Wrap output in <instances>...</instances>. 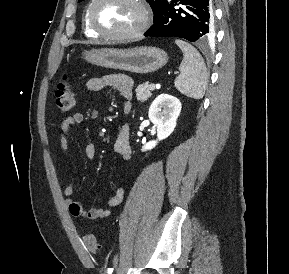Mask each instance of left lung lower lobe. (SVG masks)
Wrapping results in <instances>:
<instances>
[{"label": "left lung lower lobe", "instance_id": "obj_1", "mask_svg": "<svg viewBox=\"0 0 289 274\" xmlns=\"http://www.w3.org/2000/svg\"><path fill=\"white\" fill-rule=\"evenodd\" d=\"M180 5L179 9L174 7ZM145 36H174L205 43L214 36L210 0H167Z\"/></svg>", "mask_w": 289, "mask_h": 274}]
</instances>
